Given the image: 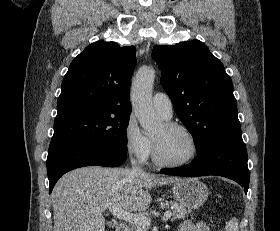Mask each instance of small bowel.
<instances>
[{
	"label": "small bowel",
	"mask_w": 280,
	"mask_h": 231,
	"mask_svg": "<svg viewBox=\"0 0 280 231\" xmlns=\"http://www.w3.org/2000/svg\"><path fill=\"white\" fill-rule=\"evenodd\" d=\"M179 231H209V228L204 222L194 223L186 220L181 224Z\"/></svg>",
	"instance_id": "1"
}]
</instances>
